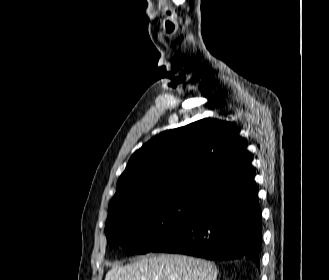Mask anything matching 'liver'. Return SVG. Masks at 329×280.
<instances>
[{
	"mask_svg": "<svg viewBox=\"0 0 329 280\" xmlns=\"http://www.w3.org/2000/svg\"><path fill=\"white\" fill-rule=\"evenodd\" d=\"M217 268L208 261L178 254L146 255L114 265L105 280H216Z\"/></svg>",
	"mask_w": 329,
	"mask_h": 280,
	"instance_id": "obj_1",
	"label": "liver"
}]
</instances>
